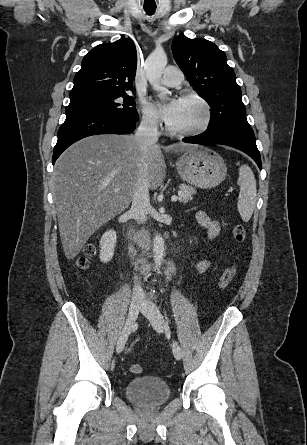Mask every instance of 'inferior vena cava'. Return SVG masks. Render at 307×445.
Segmentation results:
<instances>
[{"label": "inferior vena cava", "instance_id": "obj_1", "mask_svg": "<svg viewBox=\"0 0 307 445\" xmlns=\"http://www.w3.org/2000/svg\"><path fill=\"white\" fill-rule=\"evenodd\" d=\"M160 132H158L157 118L154 116H142V120L134 134V140L138 144L142 156L140 164V176L136 184L131 204V212L141 225L146 220V214L151 208L149 198V184L147 180V150L148 146L155 144L158 140ZM144 297V291L141 285H134L131 301L133 304H140Z\"/></svg>", "mask_w": 307, "mask_h": 445}]
</instances>
